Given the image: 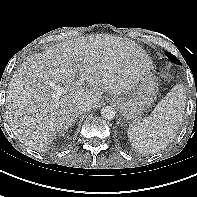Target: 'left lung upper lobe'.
I'll return each mask as SVG.
<instances>
[{
    "label": "left lung upper lobe",
    "mask_w": 197,
    "mask_h": 197,
    "mask_svg": "<svg viewBox=\"0 0 197 197\" xmlns=\"http://www.w3.org/2000/svg\"><path fill=\"white\" fill-rule=\"evenodd\" d=\"M166 55L169 57L171 63L181 64L174 55L170 54L169 52H167Z\"/></svg>",
    "instance_id": "left-lung-upper-lobe-1"
}]
</instances>
